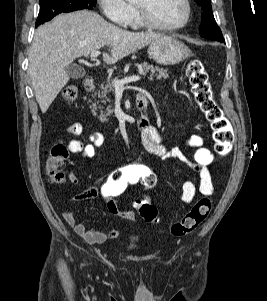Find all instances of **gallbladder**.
Instances as JSON below:
<instances>
[{
    "label": "gallbladder",
    "instance_id": "gallbladder-1",
    "mask_svg": "<svg viewBox=\"0 0 267 301\" xmlns=\"http://www.w3.org/2000/svg\"><path fill=\"white\" fill-rule=\"evenodd\" d=\"M66 72L72 79H81L86 74L84 68L77 64H70L67 66Z\"/></svg>",
    "mask_w": 267,
    "mask_h": 301
}]
</instances>
